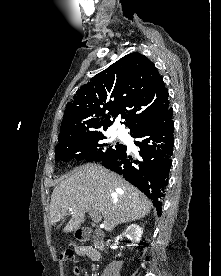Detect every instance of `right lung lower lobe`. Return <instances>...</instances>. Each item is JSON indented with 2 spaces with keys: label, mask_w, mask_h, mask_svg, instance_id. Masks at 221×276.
Returning <instances> with one entry per match:
<instances>
[{
  "label": "right lung lower lobe",
  "mask_w": 221,
  "mask_h": 276,
  "mask_svg": "<svg viewBox=\"0 0 221 276\" xmlns=\"http://www.w3.org/2000/svg\"><path fill=\"white\" fill-rule=\"evenodd\" d=\"M173 111H168L154 121L130 131L139 139V158H132L125 150L102 163L106 168L122 175L152 200L160 216L174 148Z\"/></svg>",
  "instance_id": "98d812e1"
}]
</instances>
